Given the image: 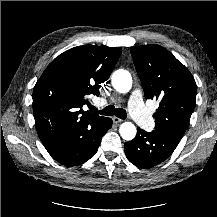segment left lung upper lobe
I'll return each instance as SVG.
<instances>
[{
  "instance_id": "left-lung-upper-lobe-1",
  "label": "left lung upper lobe",
  "mask_w": 217,
  "mask_h": 217,
  "mask_svg": "<svg viewBox=\"0 0 217 217\" xmlns=\"http://www.w3.org/2000/svg\"><path fill=\"white\" fill-rule=\"evenodd\" d=\"M146 99L159 102L155 129L181 140L196 101V83L190 71L162 46L130 48Z\"/></svg>"
}]
</instances>
